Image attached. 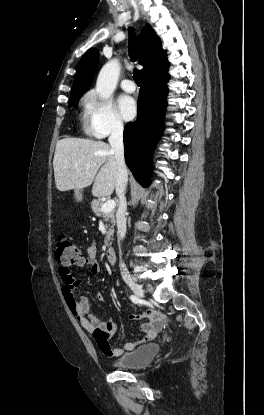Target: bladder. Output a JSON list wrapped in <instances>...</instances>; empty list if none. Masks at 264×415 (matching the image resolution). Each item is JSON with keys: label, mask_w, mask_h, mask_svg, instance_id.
<instances>
[{"label": "bladder", "mask_w": 264, "mask_h": 415, "mask_svg": "<svg viewBox=\"0 0 264 415\" xmlns=\"http://www.w3.org/2000/svg\"><path fill=\"white\" fill-rule=\"evenodd\" d=\"M160 351L158 344L143 345L112 362L118 368L141 369L148 366Z\"/></svg>", "instance_id": "1"}]
</instances>
